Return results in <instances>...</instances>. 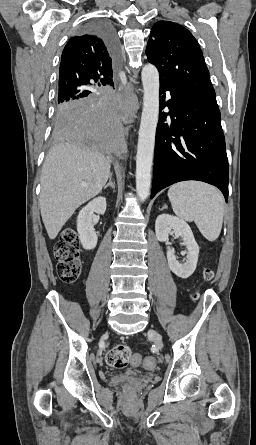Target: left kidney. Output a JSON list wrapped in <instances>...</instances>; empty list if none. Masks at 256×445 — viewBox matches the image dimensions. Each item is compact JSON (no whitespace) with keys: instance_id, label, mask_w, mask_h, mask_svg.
Here are the masks:
<instances>
[{"instance_id":"left-kidney-1","label":"left kidney","mask_w":256,"mask_h":445,"mask_svg":"<svg viewBox=\"0 0 256 445\" xmlns=\"http://www.w3.org/2000/svg\"><path fill=\"white\" fill-rule=\"evenodd\" d=\"M174 232L175 237H181L182 245L186 246V261L180 263L175 255L173 248L167 247V260L171 271L178 277L186 279L193 274L196 269L199 246L195 241L190 226L184 221L169 214H161L157 217L155 223L156 237L161 242L168 241V236Z\"/></svg>"}]
</instances>
